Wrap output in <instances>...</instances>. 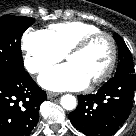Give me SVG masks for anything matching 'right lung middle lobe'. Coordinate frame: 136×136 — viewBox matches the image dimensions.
Segmentation results:
<instances>
[{
  "label": "right lung middle lobe",
  "mask_w": 136,
  "mask_h": 136,
  "mask_svg": "<svg viewBox=\"0 0 136 136\" xmlns=\"http://www.w3.org/2000/svg\"><path fill=\"white\" fill-rule=\"evenodd\" d=\"M34 21L31 17H0V75H17L25 71L20 40Z\"/></svg>",
  "instance_id": "dd1d6c3e"
}]
</instances>
